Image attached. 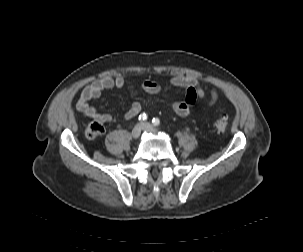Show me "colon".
Returning a JSON list of instances; mask_svg holds the SVG:
<instances>
[{
    "label": "colon",
    "instance_id": "obj_1",
    "mask_svg": "<svg viewBox=\"0 0 303 252\" xmlns=\"http://www.w3.org/2000/svg\"><path fill=\"white\" fill-rule=\"evenodd\" d=\"M214 127L218 132H225L227 129V121L225 117L222 116L218 118L214 123ZM104 131L105 129L103 124L99 121H94L88 125L86 134L88 138L93 139L101 136Z\"/></svg>",
    "mask_w": 303,
    "mask_h": 252
}]
</instances>
